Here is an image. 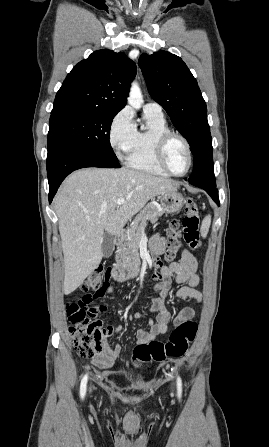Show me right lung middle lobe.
Returning <instances> with one entry per match:
<instances>
[{
	"instance_id": "obj_1",
	"label": "right lung middle lobe",
	"mask_w": 269,
	"mask_h": 447,
	"mask_svg": "<svg viewBox=\"0 0 269 447\" xmlns=\"http://www.w3.org/2000/svg\"><path fill=\"white\" fill-rule=\"evenodd\" d=\"M114 112H59L51 114L48 137L117 159L110 145Z\"/></svg>"
}]
</instances>
